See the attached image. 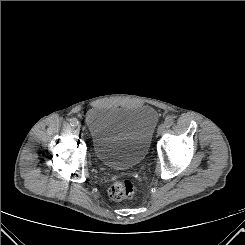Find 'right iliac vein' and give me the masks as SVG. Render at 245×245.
<instances>
[{"label":"right iliac vein","mask_w":245,"mask_h":245,"mask_svg":"<svg viewBox=\"0 0 245 245\" xmlns=\"http://www.w3.org/2000/svg\"><path fill=\"white\" fill-rule=\"evenodd\" d=\"M81 128V125H78V129H80Z\"/></svg>","instance_id":"obj_1"}]
</instances>
